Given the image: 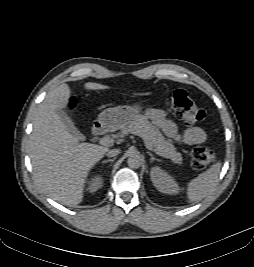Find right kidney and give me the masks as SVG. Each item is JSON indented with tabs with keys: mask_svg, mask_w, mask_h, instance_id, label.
Here are the masks:
<instances>
[{
	"mask_svg": "<svg viewBox=\"0 0 254 267\" xmlns=\"http://www.w3.org/2000/svg\"><path fill=\"white\" fill-rule=\"evenodd\" d=\"M103 186V177L101 175H96L89 181L88 189L90 192H95Z\"/></svg>",
	"mask_w": 254,
	"mask_h": 267,
	"instance_id": "right-kidney-1",
	"label": "right kidney"
}]
</instances>
